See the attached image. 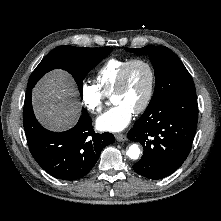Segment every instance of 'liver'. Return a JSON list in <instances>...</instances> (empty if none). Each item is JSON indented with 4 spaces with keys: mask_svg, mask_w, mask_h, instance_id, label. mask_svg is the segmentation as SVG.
<instances>
[{
    "mask_svg": "<svg viewBox=\"0 0 221 221\" xmlns=\"http://www.w3.org/2000/svg\"><path fill=\"white\" fill-rule=\"evenodd\" d=\"M72 77L65 71L46 74L33 90L32 103L39 122L53 131H64L75 125L80 115L75 100Z\"/></svg>",
    "mask_w": 221,
    "mask_h": 221,
    "instance_id": "1",
    "label": "liver"
}]
</instances>
